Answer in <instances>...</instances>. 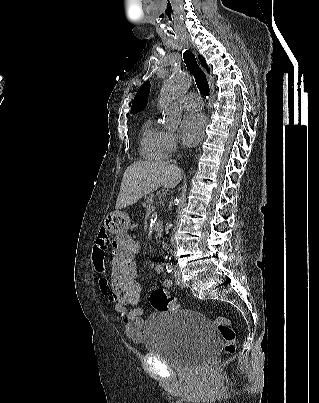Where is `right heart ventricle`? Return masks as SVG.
Segmentation results:
<instances>
[{"instance_id": "obj_1", "label": "right heart ventricle", "mask_w": 319, "mask_h": 403, "mask_svg": "<svg viewBox=\"0 0 319 403\" xmlns=\"http://www.w3.org/2000/svg\"><path fill=\"white\" fill-rule=\"evenodd\" d=\"M164 129L152 119H147L141 128V155L156 160L166 156Z\"/></svg>"}]
</instances>
